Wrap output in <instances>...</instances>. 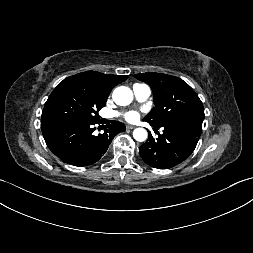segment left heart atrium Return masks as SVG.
<instances>
[{"label":"left heart atrium","mask_w":253,"mask_h":253,"mask_svg":"<svg viewBox=\"0 0 253 253\" xmlns=\"http://www.w3.org/2000/svg\"><path fill=\"white\" fill-rule=\"evenodd\" d=\"M120 116L128 122H134L138 120V118L140 117V114L139 112L135 110H131V111L121 113Z\"/></svg>","instance_id":"1"}]
</instances>
